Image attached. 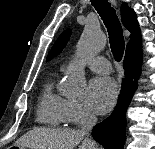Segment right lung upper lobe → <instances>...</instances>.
<instances>
[{
  "label": "right lung upper lobe",
  "instance_id": "right-lung-upper-lobe-1",
  "mask_svg": "<svg viewBox=\"0 0 155 149\" xmlns=\"http://www.w3.org/2000/svg\"><path fill=\"white\" fill-rule=\"evenodd\" d=\"M122 23L130 31V41L126 47L127 57H138L142 55L141 35L135 12L129 8L127 3L121 6Z\"/></svg>",
  "mask_w": 155,
  "mask_h": 149
}]
</instances>
